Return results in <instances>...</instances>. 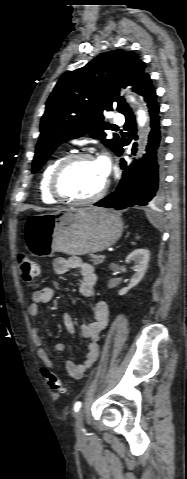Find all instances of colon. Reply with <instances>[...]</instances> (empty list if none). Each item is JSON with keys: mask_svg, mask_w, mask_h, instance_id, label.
<instances>
[{"mask_svg": "<svg viewBox=\"0 0 187 479\" xmlns=\"http://www.w3.org/2000/svg\"><path fill=\"white\" fill-rule=\"evenodd\" d=\"M18 269L21 280L26 283L32 282L38 275L39 271L37 263L25 254H20L18 256ZM45 378L49 387L54 392L62 394L67 393L66 383L54 372L46 371Z\"/></svg>", "mask_w": 187, "mask_h": 479, "instance_id": "1", "label": "colon"}]
</instances>
